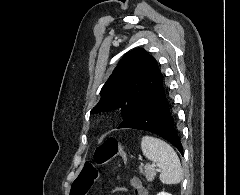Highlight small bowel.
Segmentation results:
<instances>
[{
    "label": "small bowel",
    "mask_w": 240,
    "mask_h": 195,
    "mask_svg": "<svg viewBox=\"0 0 240 195\" xmlns=\"http://www.w3.org/2000/svg\"><path fill=\"white\" fill-rule=\"evenodd\" d=\"M130 186L133 195H148V190L143 186L141 180L138 177H132L130 179ZM116 191L120 194H125L128 190L124 187H117Z\"/></svg>",
    "instance_id": "1"
}]
</instances>
